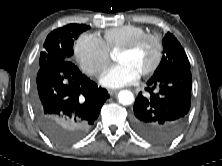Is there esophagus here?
<instances>
[{
	"label": "esophagus",
	"mask_w": 222,
	"mask_h": 166,
	"mask_svg": "<svg viewBox=\"0 0 222 166\" xmlns=\"http://www.w3.org/2000/svg\"><path fill=\"white\" fill-rule=\"evenodd\" d=\"M108 93H109L111 96H113V95H115V94L118 93V90L110 89V90H108Z\"/></svg>",
	"instance_id": "esophagus-1"
}]
</instances>
